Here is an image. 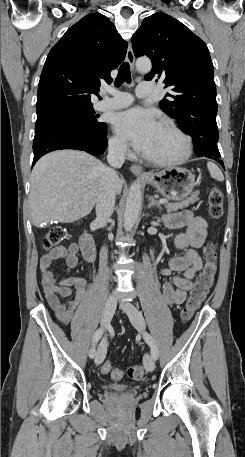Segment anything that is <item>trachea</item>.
Masks as SVG:
<instances>
[{"label":"trachea","mask_w":245,"mask_h":457,"mask_svg":"<svg viewBox=\"0 0 245 457\" xmlns=\"http://www.w3.org/2000/svg\"><path fill=\"white\" fill-rule=\"evenodd\" d=\"M124 82L128 84L131 82L130 66L127 62L122 63L120 66L114 85L120 87Z\"/></svg>","instance_id":"trachea-1"}]
</instances>
